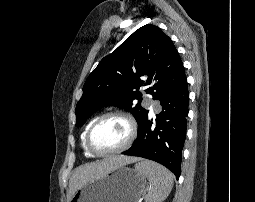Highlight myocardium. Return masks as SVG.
Masks as SVG:
<instances>
[{
	"instance_id": "f54148a6",
	"label": "myocardium",
	"mask_w": 255,
	"mask_h": 202,
	"mask_svg": "<svg viewBox=\"0 0 255 202\" xmlns=\"http://www.w3.org/2000/svg\"><path fill=\"white\" fill-rule=\"evenodd\" d=\"M112 117L121 118L127 123L128 129H129L128 138L122 146H120L119 148H117L115 150L108 151V152L97 151L92 146V143H91L92 133L98 124H100L105 119L112 118ZM137 134H138V125H137V122L134 119V117L125 111L116 110V111L107 112V113L97 117L91 123L90 127L87 130L86 136H85V144H86V147L89 150V152L95 156H100V157L111 156V155H116V154L122 153L125 150H127L135 141Z\"/></svg>"
}]
</instances>
